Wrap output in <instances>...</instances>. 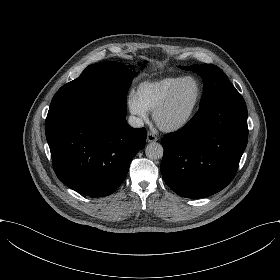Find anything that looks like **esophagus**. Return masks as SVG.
Returning a JSON list of instances; mask_svg holds the SVG:
<instances>
[{"label": "esophagus", "instance_id": "1", "mask_svg": "<svg viewBox=\"0 0 280 280\" xmlns=\"http://www.w3.org/2000/svg\"><path fill=\"white\" fill-rule=\"evenodd\" d=\"M146 140L148 143H152V142H156L158 140V137L154 135L152 132H148Z\"/></svg>", "mask_w": 280, "mask_h": 280}]
</instances>
